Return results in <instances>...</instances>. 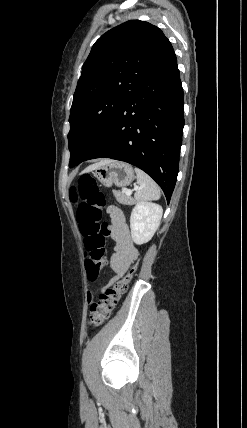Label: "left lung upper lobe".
<instances>
[{
	"label": "left lung upper lobe",
	"instance_id": "5c2ea615",
	"mask_svg": "<svg viewBox=\"0 0 247 428\" xmlns=\"http://www.w3.org/2000/svg\"><path fill=\"white\" fill-rule=\"evenodd\" d=\"M174 53L156 26L125 22L102 35L83 65L70 110L69 167L85 160L124 101ZM89 132L91 138L81 143Z\"/></svg>",
	"mask_w": 247,
	"mask_h": 428
}]
</instances>
